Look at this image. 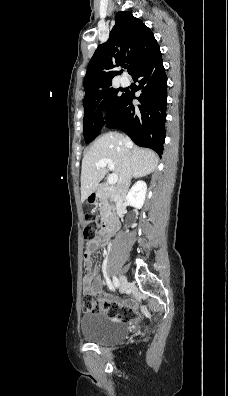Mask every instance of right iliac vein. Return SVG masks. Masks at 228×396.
<instances>
[{
	"label": "right iliac vein",
	"mask_w": 228,
	"mask_h": 396,
	"mask_svg": "<svg viewBox=\"0 0 228 396\" xmlns=\"http://www.w3.org/2000/svg\"><path fill=\"white\" fill-rule=\"evenodd\" d=\"M127 279L124 275H120L119 277V286H120V290L123 292L126 287H127Z\"/></svg>",
	"instance_id": "63e3f726"
}]
</instances>
